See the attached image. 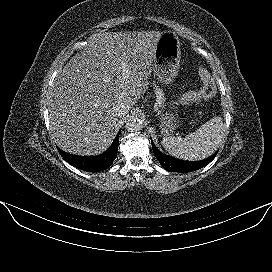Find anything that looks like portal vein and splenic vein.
I'll return each instance as SVG.
<instances>
[{
	"label": "portal vein and splenic vein",
	"instance_id": "18ae733b",
	"mask_svg": "<svg viewBox=\"0 0 272 272\" xmlns=\"http://www.w3.org/2000/svg\"><path fill=\"white\" fill-rule=\"evenodd\" d=\"M123 76L124 78H128V71L126 70L125 66H123Z\"/></svg>",
	"mask_w": 272,
	"mask_h": 272
}]
</instances>
